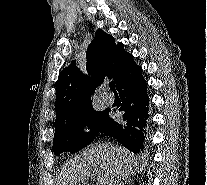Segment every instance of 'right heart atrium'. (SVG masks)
I'll use <instances>...</instances> for the list:
<instances>
[{"mask_svg": "<svg viewBox=\"0 0 207 185\" xmlns=\"http://www.w3.org/2000/svg\"><path fill=\"white\" fill-rule=\"evenodd\" d=\"M78 133L81 137H84L86 136V134L88 133V128L86 126V124L84 123H81L79 126H78Z\"/></svg>", "mask_w": 207, "mask_h": 185, "instance_id": "d8ad5b80", "label": "right heart atrium"}]
</instances>
